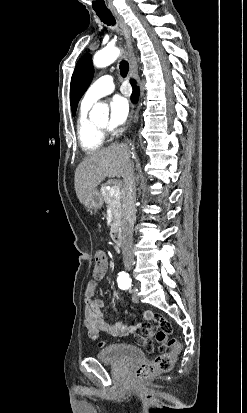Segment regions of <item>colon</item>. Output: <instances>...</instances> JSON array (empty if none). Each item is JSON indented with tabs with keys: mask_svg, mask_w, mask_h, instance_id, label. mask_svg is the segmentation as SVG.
I'll return each mask as SVG.
<instances>
[{
	"mask_svg": "<svg viewBox=\"0 0 247 413\" xmlns=\"http://www.w3.org/2000/svg\"><path fill=\"white\" fill-rule=\"evenodd\" d=\"M109 271V264L105 262V250L97 249L96 254L92 255V277L100 278L101 274ZM155 340L159 343L169 340V353H160L159 357L151 363H145L138 367L134 374L135 381H152L153 375L156 373L169 372L174 367V362L178 351L181 349V344L176 342L174 338L167 337L165 332H160L156 335ZM104 343L100 342L99 347H103Z\"/></svg>",
	"mask_w": 247,
	"mask_h": 413,
	"instance_id": "5ec220e1",
	"label": "colon"
}]
</instances>
